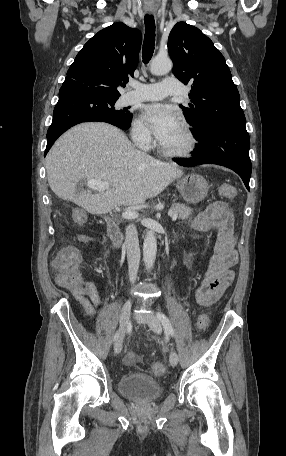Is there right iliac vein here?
<instances>
[{
	"label": "right iliac vein",
	"mask_w": 286,
	"mask_h": 456,
	"mask_svg": "<svg viewBox=\"0 0 286 456\" xmlns=\"http://www.w3.org/2000/svg\"><path fill=\"white\" fill-rule=\"evenodd\" d=\"M131 307H132V301L128 299L121 310L120 314V335L116 339L115 345H114V351L116 354H119L122 350V345H123V336L125 329L128 325L129 318H130V313H131Z\"/></svg>",
	"instance_id": "1"
}]
</instances>
